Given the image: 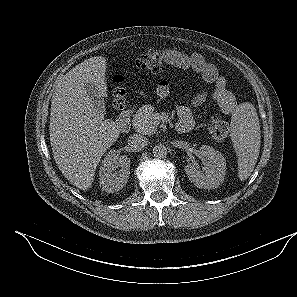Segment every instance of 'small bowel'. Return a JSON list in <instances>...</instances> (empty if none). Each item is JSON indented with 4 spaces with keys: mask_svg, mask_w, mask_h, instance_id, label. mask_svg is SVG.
<instances>
[{
    "mask_svg": "<svg viewBox=\"0 0 297 297\" xmlns=\"http://www.w3.org/2000/svg\"><path fill=\"white\" fill-rule=\"evenodd\" d=\"M165 61L182 70H192L199 73L202 79L213 84L214 88L209 94V98L217 104L223 113L234 114L238 109V103L232 92L228 89L226 79L218 72L216 66L207 61L201 54H187L176 49L162 50ZM157 93L161 98H166L170 94L169 83L162 80L158 84ZM208 95L206 93L198 94L192 100V106L197 107L202 105ZM179 117L178 125L186 124L192 129L193 115L191 108L187 105L177 107ZM177 125V126H178Z\"/></svg>",
    "mask_w": 297,
    "mask_h": 297,
    "instance_id": "small-bowel-1",
    "label": "small bowel"
}]
</instances>
